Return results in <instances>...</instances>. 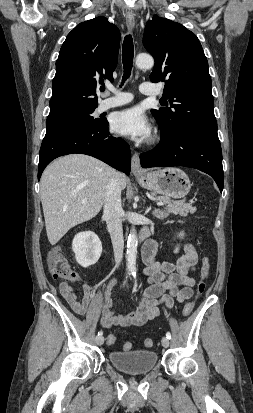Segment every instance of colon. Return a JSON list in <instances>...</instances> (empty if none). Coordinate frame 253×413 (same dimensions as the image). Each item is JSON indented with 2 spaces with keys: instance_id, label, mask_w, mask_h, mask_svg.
Wrapping results in <instances>:
<instances>
[{
  "instance_id": "colon-1",
  "label": "colon",
  "mask_w": 253,
  "mask_h": 413,
  "mask_svg": "<svg viewBox=\"0 0 253 413\" xmlns=\"http://www.w3.org/2000/svg\"><path fill=\"white\" fill-rule=\"evenodd\" d=\"M48 267L55 279H59L62 281H69L72 279L75 275L74 271L72 270L68 260L64 256V254L61 252L60 249H54L49 252L48 254ZM210 261L207 257H204L202 259V264H201V270H200V280L197 284V294L200 295L205 291L206 288V283L205 280L209 274L210 271ZM195 306L194 301H190L185 304L183 308V315L184 316H189ZM107 342L109 344H114L116 342V337L113 334H110L107 336ZM144 345L146 347H152L153 345V340L150 338H146L144 340ZM123 349L128 351L131 349V343L126 342L123 345Z\"/></svg>"
}]
</instances>
